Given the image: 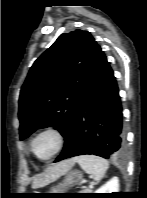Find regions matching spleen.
<instances>
[{
	"label": "spleen",
	"instance_id": "1",
	"mask_svg": "<svg viewBox=\"0 0 147 198\" xmlns=\"http://www.w3.org/2000/svg\"><path fill=\"white\" fill-rule=\"evenodd\" d=\"M75 161L86 173L93 175L96 181H100L104 177L109 167L106 159L95 155H81L76 157Z\"/></svg>",
	"mask_w": 147,
	"mask_h": 198
}]
</instances>
